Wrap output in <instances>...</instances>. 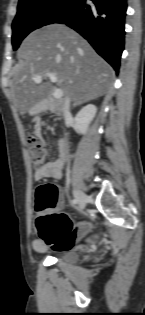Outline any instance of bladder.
<instances>
[{"mask_svg": "<svg viewBox=\"0 0 145 315\" xmlns=\"http://www.w3.org/2000/svg\"><path fill=\"white\" fill-rule=\"evenodd\" d=\"M56 258L63 263L75 264L78 261L77 250L74 248L62 249Z\"/></svg>", "mask_w": 145, "mask_h": 315, "instance_id": "31cf9c89", "label": "bladder"}]
</instances>
